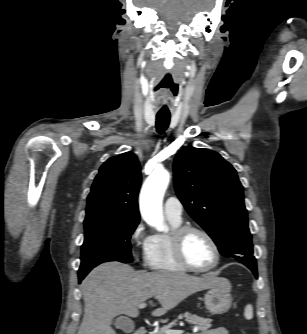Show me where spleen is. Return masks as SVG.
<instances>
[{"label":"spleen","instance_id":"1","mask_svg":"<svg viewBox=\"0 0 307 334\" xmlns=\"http://www.w3.org/2000/svg\"><path fill=\"white\" fill-rule=\"evenodd\" d=\"M244 316L246 319H252L253 318V307L251 304L246 305Z\"/></svg>","mask_w":307,"mask_h":334}]
</instances>
